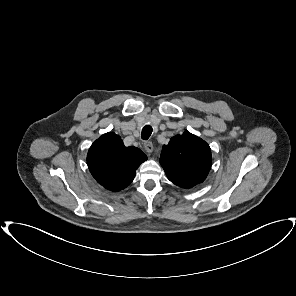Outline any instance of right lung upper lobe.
<instances>
[{"label":"right lung upper lobe","mask_w":296,"mask_h":296,"mask_svg":"<svg viewBox=\"0 0 296 296\" xmlns=\"http://www.w3.org/2000/svg\"><path fill=\"white\" fill-rule=\"evenodd\" d=\"M147 156L134 146L125 147L119 135L106 133L90 147L87 163L93 177L111 191L126 188Z\"/></svg>","instance_id":"1"}]
</instances>
